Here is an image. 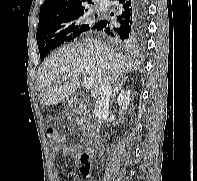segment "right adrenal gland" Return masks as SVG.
I'll use <instances>...</instances> for the list:
<instances>
[{
  "mask_svg": "<svg viewBox=\"0 0 197 181\" xmlns=\"http://www.w3.org/2000/svg\"><path fill=\"white\" fill-rule=\"evenodd\" d=\"M122 86H123V83L120 82L119 79H117L116 86H115V89H114V92H113V97H112V100L110 102V105H112V103L114 102L116 94L122 89Z\"/></svg>",
  "mask_w": 197,
  "mask_h": 181,
  "instance_id": "2a0ac1e0",
  "label": "right adrenal gland"
}]
</instances>
